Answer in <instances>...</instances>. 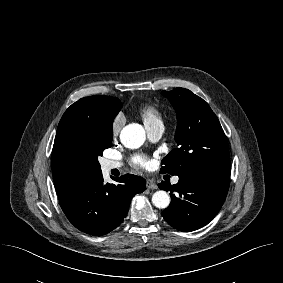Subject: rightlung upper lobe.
I'll use <instances>...</instances> for the list:
<instances>
[{"instance_id": "cb5924a9", "label": "right lung upper lobe", "mask_w": 283, "mask_h": 283, "mask_svg": "<svg viewBox=\"0 0 283 283\" xmlns=\"http://www.w3.org/2000/svg\"><path fill=\"white\" fill-rule=\"evenodd\" d=\"M122 103L118 98L95 95L81 98L72 104L62 116L53 145L52 169L58 195H62L83 179L72 177L64 172L61 166V144L64 128L72 118H83L108 123L114 119Z\"/></svg>"}]
</instances>
